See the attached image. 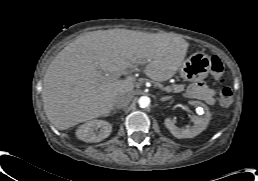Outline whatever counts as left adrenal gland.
<instances>
[{
	"mask_svg": "<svg viewBox=\"0 0 258 181\" xmlns=\"http://www.w3.org/2000/svg\"><path fill=\"white\" fill-rule=\"evenodd\" d=\"M169 99H171V96L162 97L160 100H161L162 102H164V101H167V100H169Z\"/></svg>",
	"mask_w": 258,
	"mask_h": 181,
	"instance_id": "1",
	"label": "left adrenal gland"
}]
</instances>
